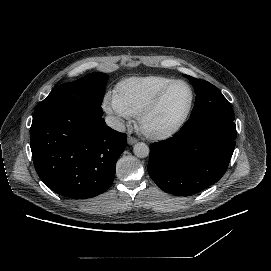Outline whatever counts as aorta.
Listing matches in <instances>:
<instances>
[{
    "mask_svg": "<svg viewBox=\"0 0 271 271\" xmlns=\"http://www.w3.org/2000/svg\"><path fill=\"white\" fill-rule=\"evenodd\" d=\"M149 151V147L143 142H138L133 147L134 154L139 158L147 157L149 155Z\"/></svg>",
    "mask_w": 271,
    "mask_h": 271,
    "instance_id": "762f6f07",
    "label": "aorta"
}]
</instances>
